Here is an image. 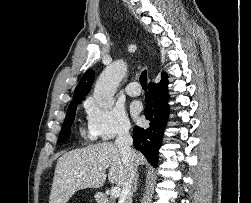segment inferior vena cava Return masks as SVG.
<instances>
[{
  "instance_id": "602c4592",
  "label": "inferior vena cava",
  "mask_w": 251,
  "mask_h": 203,
  "mask_svg": "<svg viewBox=\"0 0 251 203\" xmlns=\"http://www.w3.org/2000/svg\"><path fill=\"white\" fill-rule=\"evenodd\" d=\"M130 128V123L123 124L115 140V145L119 149L122 155L123 163L126 167V175L119 203H132V185L137 171V166L134 162L135 152L131 148L133 139L129 132Z\"/></svg>"
}]
</instances>
